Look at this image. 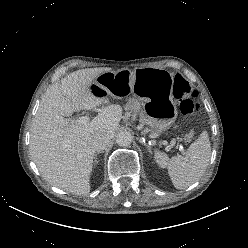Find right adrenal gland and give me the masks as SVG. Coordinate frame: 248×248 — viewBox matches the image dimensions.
<instances>
[{"instance_id":"2a0ac1e0","label":"right adrenal gland","mask_w":248,"mask_h":248,"mask_svg":"<svg viewBox=\"0 0 248 248\" xmlns=\"http://www.w3.org/2000/svg\"><path fill=\"white\" fill-rule=\"evenodd\" d=\"M99 153H101V151H98V152L95 153V155H94V163H97V162H98V161H97V155H98Z\"/></svg>"}]
</instances>
